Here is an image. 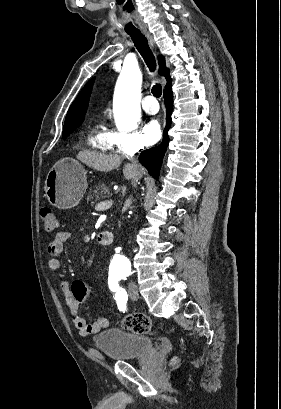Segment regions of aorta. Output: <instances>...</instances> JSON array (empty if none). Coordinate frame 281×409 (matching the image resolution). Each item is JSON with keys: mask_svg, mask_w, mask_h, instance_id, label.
<instances>
[{"mask_svg": "<svg viewBox=\"0 0 281 409\" xmlns=\"http://www.w3.org/2000/svg\"><path fill=\"white\" fill-rule=\"evenodd\" d=\"M141 74L136 68H123L114 95L113 112L118 129H135L140 117Z\"/></svg>", "mask_w": 281, "mask_h": 409, "instance_id": "obj_1", "label": "aorta"}]
</instances>
